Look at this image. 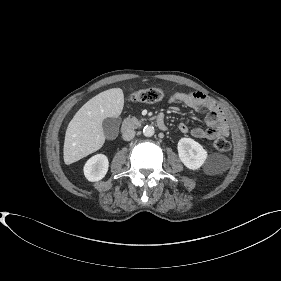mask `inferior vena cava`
I'll return each mask as SVG.
<instances>
[{"mask_svg": "<svg viewBox=\"0 0 281 281\" xmlns=\"http://www.w3.org/2000/svg\"><path fill=\"white\" fill-rule=\"evenodd\" d=\"M122 137L125 141H130L135 137V131L133 129H127L123 132Z\"/></svg>", "mask_w": 281, "mask_h": 281, "instance_id": "obj_1", "label": "inferior vena cava"}]
</instances>
